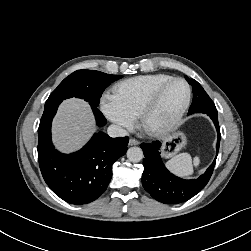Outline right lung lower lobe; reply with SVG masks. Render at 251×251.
<instances>
[{
  "instance_id": "right-lung-lower-lobe-1",
  "label": "right lung lower lobe",
  "mask_w": 251,
  "mask_h": 251,
  "mask_svg": "<svg viewBox=\"0 0 251 251\" xmlns=\"http://www.w3.org/2000/svg\"><path fill=\"white\" fill-rule=\"evenodd\" d=\"M60 103L45 106L38 128V160L42 176L50 189L64 201L82 205L96 200L107 188L113 163L127 151L128 137L111 138L103 132L94 134L79 151L62 154L51 141V122ZM97 125L106 119L90 104Z\"/></svg>"
}]
</instances>
